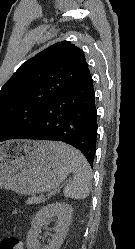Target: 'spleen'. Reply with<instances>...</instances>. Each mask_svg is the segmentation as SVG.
Returning <instances> with one entry per match:
<instances>
[{
	"mask_svg": "<svg viewBox=\"0 0 135 249\" xmlns=\"http://www.w3.org/2000/svg\"><path fill=\"white\" fill-rule=\"evenodd\" d=\"M51 147L71 162L73 180L64 188L67 198L83 200L89 196L92 185V171L86 158L77 149L60 142H52Z\"/></svg>",
	"mask_w": 135,
	"mask_h": 249,
	"instance_id": "3e777b00",
	"label": "spleen"
}]
</instances>
